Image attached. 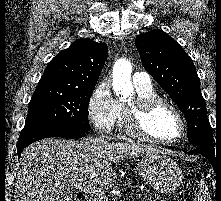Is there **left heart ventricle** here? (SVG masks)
I'll list each match as a JSON object with an SVG mask.
<instances>
[{
  "instance_id": "b2bd125f",
  "label": "left heart ventricle",
  "mask_w": 221,
  "mask_h": 201,
  "mask_svg": "<svg viewBox=\"0 0 221 201\" xmlns=\"http://www.w3.org/2000/svg\"><path fill=\"white\" fill-rule=\"evenodd\" d=\"M145 130L158 139L170 140L179 136L181 127L176 115L167 107L156 108L144 121Z\"/></svg>"
}]
</instances>
